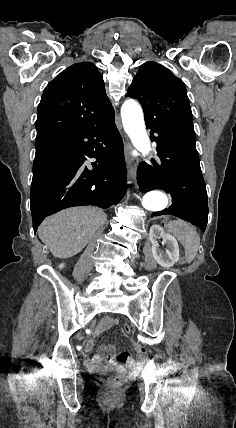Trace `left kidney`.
<instances>
[{
  "instance_id": "obj_1",
  "label": "left kidney",
  "mask_w": 236,
  "mask_h": 428,
  "mask_svg": "<svg viewBox=\"0 0 236 428\" xmlns=\"http://www.w3.org/2000/svg\"><path fill=\"white\" fill-rule=\"evenodd\" d=\"M163 238L167 248L160 250L157 240ZM150 240L152 244V254L155 262L163 268H171L179 260V246L176 238L171 234H165L161 226H151Z\"/></svg>"
}]
</instances>
